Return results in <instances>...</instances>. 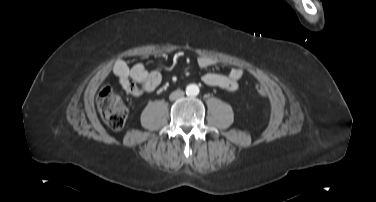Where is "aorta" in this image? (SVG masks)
Wrapping results in <instances>:
<instances>
[{
    "label": "aorta",
    "mask_w": 376,
    "mask_h": 202,
    "mask_svg": "<svg viewBox=\"0 0 376 202\" xmlns=\"http://www.w3.org/2000/svg\"><path fill=\"white\" fill-rule=\"evenodd\" d=\"M186 94L189 96H196L199 94V87L196 84H190L186 87Z\"/></svg>",
    "instance_id": "762f6f07"
}]
</instances>
